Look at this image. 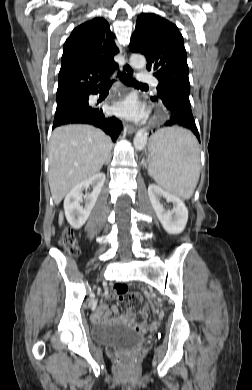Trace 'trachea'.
Segmentation results:
<instances>
[{"label":"trachea","mask_w":252,"mask_h":390,"mask_svg":"<svg viewBox=\"0 0 252 390\" xmlns=\"http://www.w3.org/2000/svg\"><path fill=\"white\" fill-rule=\"evenodd\" d=\"M120 79H121V81L124 84L129 85V86H148L147 84H143V83L137 82L134 78H132L131 76L127 75L126 73H121L120 74ZM113 81H114L113 79L106 81L102 85V88L110 87L112 85Z\"/></svg>","instance_id":"obj_1"}]
</instances>
